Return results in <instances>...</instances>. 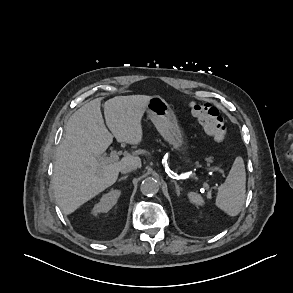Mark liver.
<instances>
[{
	"mask_svg": "<svg viewBox=\"0 0 293 293\" xmlns=\"http://www.w3.org/2000/svg\"><path fill=\"white\" fill-rule=\"evenodd\" d=\"M150 96H116L104 103L106 123L101 113V100L94 99L78 109L68 120L65 138L56 150L52 183L56 202L65 215L113 185L122 165L135 163L138 156L126 155L119 162L101 164L99 157L113 141L137 145L142 141L141 120Z\"/></svg>",
	"mask_w": 293,
	"mask_h": 293,
	"instance_id": "liver-1",
	"label": "liver"
}]
</instances>
